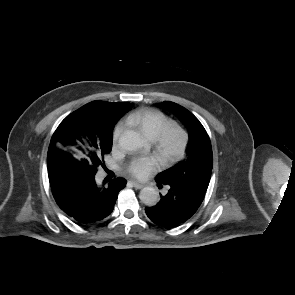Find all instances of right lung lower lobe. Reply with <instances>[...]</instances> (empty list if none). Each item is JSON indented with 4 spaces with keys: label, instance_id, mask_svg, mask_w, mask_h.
I'll return each mask as SVG.
<instances>
[{
    "label": "right lung lower lobe",
    "instance_id": "obj_1",
    "mask_svg": "<svg viewBox=\"0 0 295 295\" xmlns=\"http://www.w3.org/2000/svg\"><path fill=\"white\" fill-rule=\"evenodd\" d=\"M52 194L59 207L79 225L101 222L112 213L118 193L126 185L121 177L95 180L97 170H85L83 164L55 153L47 160Z\"/></svg>",
    "mask_w": 295,
    "mask_h": 295
}]
</instances>
